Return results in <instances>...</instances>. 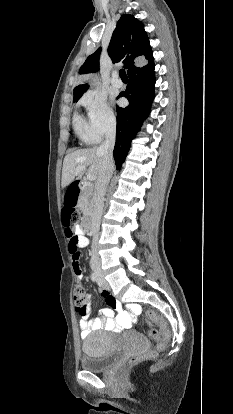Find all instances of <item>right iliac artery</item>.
<instances>
[{"label": "right iliac artery", "mask_w": 233, "mask_h": 414, "mask_svg": "<svg viewBox=\"0 0 233 414\" xmlns=\"http://www.w3.org/2000/svg\"><path fill=\"white\" fill-rule=\"evenodd\" d=\"M91 280H92L93 282H97V281H98V276H97V274H96V273H92V274H91Z\"/></svg>", "instance_id": "obj_1"}]
</instances>
